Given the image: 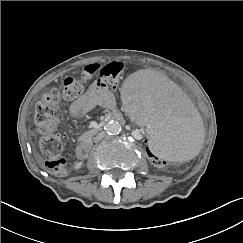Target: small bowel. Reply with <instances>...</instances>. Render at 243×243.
<instances>
[{
	"instance_id": "c3829d8e",
	"label": "small bowel",
	"mask_w": 243,
	"mask_h": 243,
	"mask_svg": "<svg viewBox=\"0 0 243 243\" xmlns=\"http://www.w3.org/2000/svg\"><path fill=\"white\" fill-rule=\"evenodd\" d=\"M115 98L109 89L101 84L95 83L85 94L76 99L70 106L73 115L81 116L89 113L97 106L112 108Z\"/></svg>"
}]
</instances>
